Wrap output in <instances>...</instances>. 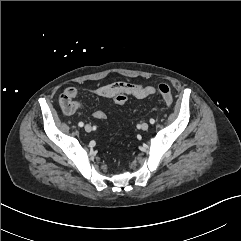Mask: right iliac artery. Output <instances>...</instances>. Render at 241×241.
<instances>
[{
    "instance_id": "obj_1",
    "label": "right iliac artery",
    "mask_w": 241,
    "mask_h": 241,
    "mask_svg": "<svg viewBox=\"0 0 241 241\" xmlns=\"http://www.w3.org/2000/svg\"><path fill=\"white\" fill-rule=\"evenodd\" d=\"M83 125H84L83 122H79V123H78V126H79V127H83Z\"/></svg>"
}]
</instances>
